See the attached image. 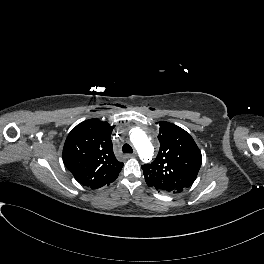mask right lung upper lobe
Here are the masks:
<instances>
[{"label": "right lung upper lobe", "mask_w": 264, "mask_h": 264, "mask_svg": "<svg viewBox=\"0 0 264 264\" xmlns=\"http://www.w3.org/2000/svg\"><path fill=\"white\" fill-rule=\"evenodd\" d=\"M114 126L98 119L77 125L67 136L63 162L75 179L91 189L109 185L123 167L113 153L110 138Z\"/></svg>", "instance_id": "1"}]
</instances>
